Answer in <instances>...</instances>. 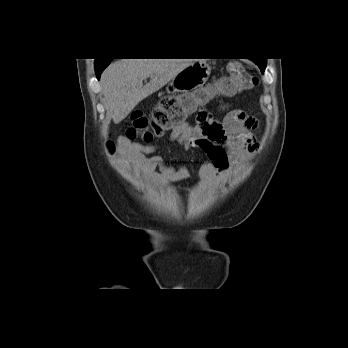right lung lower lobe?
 <instances>
[{
  "instance_id": "right-lung-lower-lobe-1",
  "label": "right lung lower lobe",
  "mask_w": 348,
  "mask_h": 348,
  "mask_svg": "<svg viewBox=\"0 0 348 348\" xmlns=\"http://www.w3.org/2000/svg\"><path fill=\"white\" fill-rule=\"evenodd\" d=\"M105 67L106 66H103V65H96L95 66L96 75H97L98 79L100 78L101 72L104 70Z\"/></svg>"
}]
</instances>
